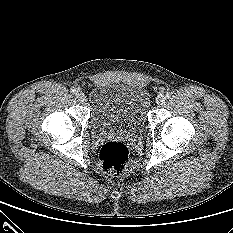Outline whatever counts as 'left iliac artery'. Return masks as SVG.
<instances>
[{
	"label": "left iliac artery",
	"mask_w": 233,
	"mask_h": 233,
	"mask_svg": "<svg viewBox=\"0 0 233 233\" xmlns=\"http://www.w3.org/2000/svg\"><path fill=\"white\" fill-rule=\"evenodd\" d=\"M171 96H172L171 92H167L166 95H165V97H167V98H170Z\"/></svg>",
	"instance_id": "obj_1"
}]
</instances>
